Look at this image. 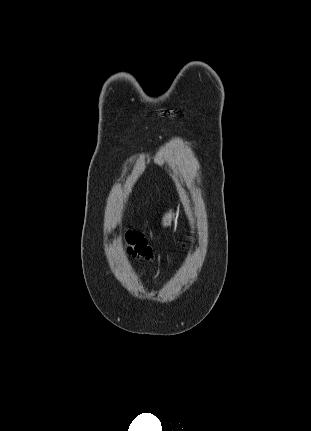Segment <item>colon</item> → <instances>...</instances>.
I'll return each instance as SVG.
<instances>
[{"label": "colon", "mask_w": 311, "mask_h": 431, "mask_svg": "<svg viewBox=\"0 0 311 431\" xmlns=\"http://www.w3.org/2000/svg\"><path fill=\"white\" fill-rule=\"evenodd\" d=\"M129 244L128 253L133 257L151 259L153 257L152 250L147 241L137 232L127 234Z\"/></svg>", "instance_id": "colon-1"}]
</instances>
